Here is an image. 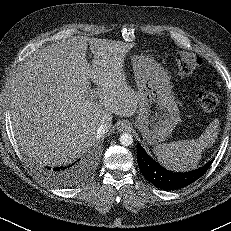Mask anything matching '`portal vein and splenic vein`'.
I'll list each match as a JSON object with an SVG mask.
<instances>
[{
    "label": "portal vein and splenic vein",
    "mask_w": 231,
    "mask_h": 231,
    "mask_svg": "<svg viewBox=\"0 0 231 231\" xmlns=\"http://www.w3.org/2000/svg\"><path fill=\"white\" fill-rule=\"evenodd\" d=\"M91 96L94 97V96H95V92H92V93H91Z\"/></svg>",
    "instance_id": "1"
}]
</instances>
